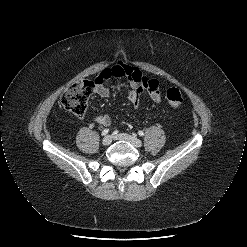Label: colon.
Listing matches in <instances>:
<instances>
[{
  "label": "colon",
  "mask_w": 247,
  "mask_h": 247,
  "mask_svg": "<svg viewBox=\"0 0 247 247\" xmlns=\"http://www.w3.org/2000/svg\"><path fill=\"white\" fill-rule=\"evenodd\" d=\"M96 89V81L83 80L74 83L62 94L60 102L64 109L75 114L82 115L86 110L88 99ZM166 100L169 106L176 110L182 103V95L177 88H169L166 91Z\"/></svg>",
  "instance_id": "colon-1"
}]
</instances>
